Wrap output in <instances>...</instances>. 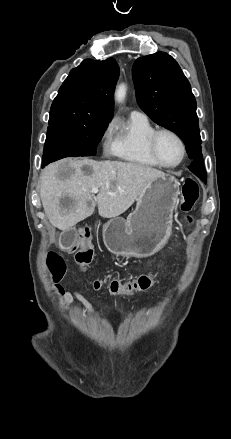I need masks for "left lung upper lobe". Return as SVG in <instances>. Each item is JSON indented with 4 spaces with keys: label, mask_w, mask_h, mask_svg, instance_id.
I'll return each instance as SVG.
<instances>
[{
    "label": "left lung upper lobe",
    "mask_w": 231,
    "mask_h": 439,
    "mask_svg": "<svg viewBox=\"0 0 231 439\" xmlns=\"http://www.w3.org/2000/svg\"><path fill=\"white\" fill-rule=\"evenodd\" d=\"M132 75L140 108L155 123L183 140L192 160L190 171L206 181L196 100L178 63L169 54L156 52L138 58Z\"/></svg>",
    "instance_id": "5c2ea615"
}]
</instances>
